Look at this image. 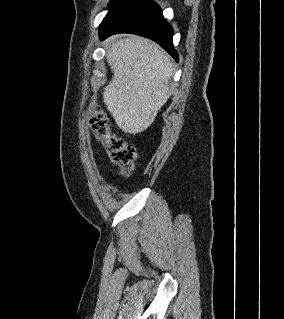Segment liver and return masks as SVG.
<instances>
[{"label":"liver","instance_id":"liver-1","mask_svg":"<svg viewBox=\"0 0 284 319\" xmlns=\"http://www.w3.org/2000/svg\"><path fill=\"white\" fill-rule=\"evenodd\" d=\"M106 57L113 77L104 103L123 132L140 133L170 97L173 65L157 44L136 35L112 39Z\"/></svg>","mask_w":284,"mask_h":319}]
</instances>
